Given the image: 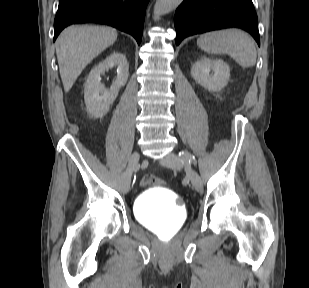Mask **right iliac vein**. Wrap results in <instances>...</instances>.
<instances>
[{
  "instance_id": "1",
  "label": "right iliac vein",
  "mask_w": 309,
  "mask_h": 288,
  "mask_svg": "<svg viewBox=\"0 0 309 288\" xmlns=\"http://www.w3.org/2000/svg\"><path fill=\"white\" fill-rule=\"evenodd\" d=\"M139 159H140V154L138 152H134L130 156L128 165H127V167L124 171V174H123V180H124L126 191H128L130 189L133 173L137 169V168L133 167V164L136 163V162L139 163Z\"/></svg>"
}]
</instances>
